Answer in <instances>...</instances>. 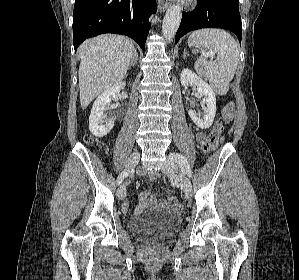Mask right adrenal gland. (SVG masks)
I'll return each instance as SVG.
<instances>
[{"label": "right adrenal gland", "mask_w": 299, "mask_h": 280, "mask_svg": "<svg viewBox=\"0 0 299 280\" xmlns=\"http://www.w3.org/2000/svg\"><path fill=\"white\" fill-rule=\"evenodd\" d=\"M137 62H138V53H137L136 50H135V51H134V54H133V57H132V59H131V62H130V64H129V68H130L131 66L136 65Z\"/></svg>", "instance_id": "1"}]
</instances>
